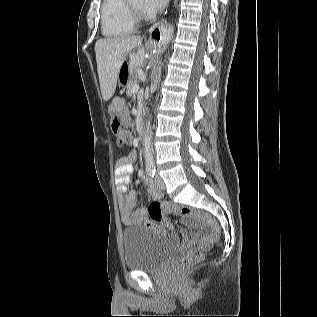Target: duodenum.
Segmentation results:
<instances>
[{"instance_id":"410a0bca","label":"duodenum","mask_w":317,"mask_h":317,"mask_svg":"<svg viewBox=\"0 0 317 317\" xmlns=\"http://www.w3.org/2000/svg\"><path fill=\"white\" fill-rule=\"evenodd\" d=\"M137 136H138L139 138H144V137L146 136V133L141 130V131H139V132L137 133Z\"/></svg>"}]
</instances>
